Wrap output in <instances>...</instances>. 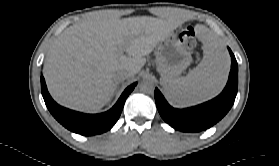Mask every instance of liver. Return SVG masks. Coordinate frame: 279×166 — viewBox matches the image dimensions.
I'll return each instance as SVG.
<instances>
[{"instance_id": "liver-1", "label": "liver", "mask_w": 279, "mask_h": 166, "mask_svg": "<svg viewBox=\"0 0 279 166\" xmlns=\"http://www.w3.org/2000/svg\"><path fill=\"white\" fill-rule=\"evenodd\" d=\"M180 24L174 12H167L165 18L124 19L99 12L68 27L46 57L44 77L50 94L65 107L99 111L119 84L115 73L128 67L134 70L132 76L137 74L145 56ZM120 46L129 56L119 54Z\"/></svg>"}]
</instances>
